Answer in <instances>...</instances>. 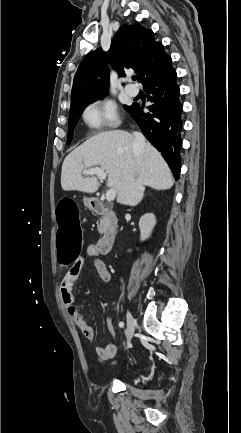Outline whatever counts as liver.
Here are the masks:
<instances>
[{"label":"liver","mask_w":241,"mask_h":433,"mask_svg":"<svg viewBox=\"0 0 241 433\" xmlns=\"http://www.w3.org/2000/svg\"><path fill=\"white\" fill-rule=\"evenodd\" d=\"M132 141L133 136L121 130L102 132L85 141L62 164V189L96 192L99 188L98 179L82 176L83 170L91 168H101L107 172L106 185L116 190L117 202L120 204L137 205L142 200L145 186L156 190L170 189L174 184L173 175L150 143H145L141 166L135 172Z\"/></svg>","instance_id":"6515ba94"}]
</instances>
